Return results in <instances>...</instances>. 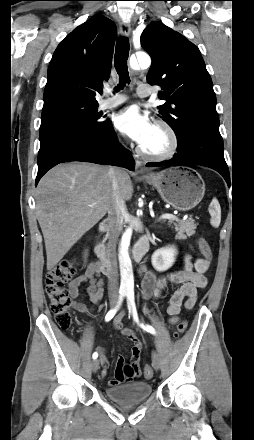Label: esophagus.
Masks as SVG:
<instances>
[{
    "mask_svg": "<svg viewBox=\"0 0 254 440\" xmlns=\"http://www.w3.org/2000/svg\"><path fill=\"white\" fill-rule=\"evenodd\" d=\"M119 30L120 33L125 37H129L131 34V26L128 22L120 21ZM135 170L138 174H149V172L145 169L142 161L138 159H136L135 161Z\"/></svg>",
    "mask_w": 254,
    "mask_h": 440,
    "instance_id": "obj_1",
    "label": "esophagus"
}]
</instances>
